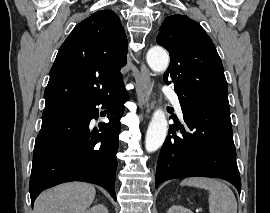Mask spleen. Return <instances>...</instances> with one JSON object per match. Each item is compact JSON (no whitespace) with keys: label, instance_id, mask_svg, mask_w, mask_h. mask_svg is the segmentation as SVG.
Listing matches in <instances>:
<instances>
[{"label":"spleen","instance_id":"1","mask_svg":"<svg viewBox=\"0 0 270 213\" xmlns=\"http://www.w3.org/2000/svg\"><path fill=\"white\" fill-rule=\"evenodd\" d=\"M180 186H193L209 191L210 213H237V201L232 190L223 182L205 177L186 178Z\"/></svg>","mask_w":270,"mask_h":213}]
</instances>
